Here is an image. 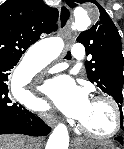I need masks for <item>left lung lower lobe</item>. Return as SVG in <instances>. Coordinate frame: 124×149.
<instances>
[{
  "instance_id": "1",
  "label": "left lung lower lobe",
  "mask_w": 124,
  "mask_h": 149,
  "mask_svg": "<svg viewBox=\"0 0 124 149\" xmlns=\"http://www.w3.org/2000/svg\"><path fill=\"white\" fill-rule=\"evenodd\" d=\"M115 140H117L118 142H120L123 145V139H122V137H117V138H115Z\"/></svg>"
}]
</instances>
